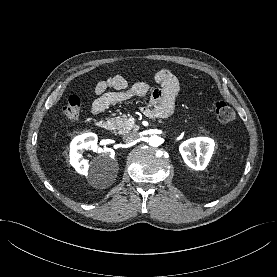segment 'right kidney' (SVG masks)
I'll use <instances>...</instances> for the list:
<instances>
[{
    "label": "right kidney",
    "mask_w": 277,
    "mask_h": 277,
    "mask_svg": "<svg viewBox=\"0 0 277 277\" xmlns=\"http://www.w3.org/2000/svg\"><path fill=\"white\" fill-rule=\"evenodd\" d=\"M88 149H98L100 153L99 162L103 164L109 163L113 168L116 166L114 150L111 148H98L97 136L93 133H86L75 137L70 147V164L80 174L87 175L89 171H99L101 168L97 163H89L83 158V152Z\"/></svg>",
    "instance_id": "1"
}]
</instances>
